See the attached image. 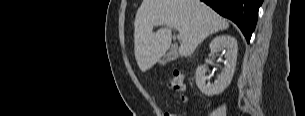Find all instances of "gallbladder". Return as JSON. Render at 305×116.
I'll list each match as a JSON object with an SVG mask.
<instances>
[{
	"label": "gallbladder",
	"mask_w": 305,
	"mask_h": 116,
	"mask_svg": "<svg viewBox=\"0 0 305 116\" xmlns=\"http://www.w3.org/2000/svg\"><path fill=\"white\" fill-rule=\"evenodd\" d=\"M177 53L176 49H170L169 52L164 56L165 62L172 61L176 59Z\"/></svg>",
	"instance_id": "bac80fb5"
}]
</instances>
